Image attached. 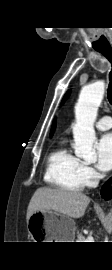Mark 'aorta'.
Segmentation results:
<instances>
[{"label":"aorta","instance_id":"aorta-1","mask_svg":"<svg viewBox=\"0 0 112 270\" xmlns=\"http://www.w3.org/2000/svg\"><path fill=\"white\" fill-rule=\"evenodd\" d=\"M104 91L103 81L89 84L81 90L75 106L76 122L72 127L75 155L90 162L97 160V154L93 149V143L96 140L94 122Z\"/></svg>","mask_w":112,"mask_h":270}]
</instances>
